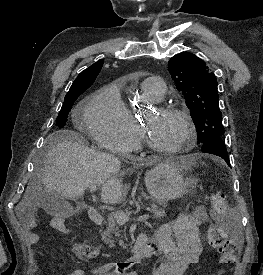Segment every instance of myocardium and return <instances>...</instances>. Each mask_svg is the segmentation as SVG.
Here are the masks:
<instances>
[{"instance_id":"obj_1","label":"myocardium","mask_w":263,"mask_h":275,"mask_svg":"<svg viewBox=\"0 0 263 275\" xmlns=\"http://www.w3.org/2000/svg\"><path fill=\"white\" fill-rule=\"evenodd\" d=\"M156 112L160 114H165V115H175L181 118L186 124L187 133L182 143L177 147L162 148L153 143V141L148 136L144 125H141L140 126L141 137L145 145L151 151L160 155L171 156V155H176L186 150H189L195 145L196 137H197V129H196L195 122L189 112L176 106H160L156 108Z\"/></svg>"}]
</instances>
